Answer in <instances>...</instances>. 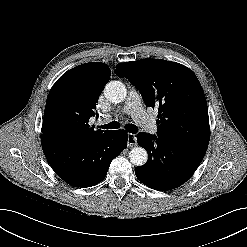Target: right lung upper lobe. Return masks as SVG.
Here are the masks:
<instances>
[{"label": "right lung upper lobe", "mask_w": 247, "mask_h": 247, "mask_svg": "<svg viewBox=\"0 0 247 247\" xmlns=\"http://www.w3.org/2000/svg\"><path fill=\"white\" fill-rule=\"evenodd\" d=\"M110 76V68L100 62L85 63L65 72L48 94L42 137L78 146L106 133L94 130L88 122L97 115L96 103Z\"/></svg>", "instance_id": "1"}]
</instances>
